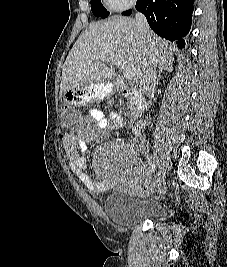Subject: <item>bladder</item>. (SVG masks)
I'll list each match as a JSON object with an SVG mask.
<instances>
[{"instance_id": "31cf9c89", "label": "bladder", "mask_w": 227, "mask_h": 267, "mask_svg": "<svg viewBox=\"0 0 227 267\" xmlns=\"http://www.w3.org/2000/svg\"><path fill=\"white\" fill-rule=\"evenodd\" d=\"M104 208L114 224L126 228L139 222L165 220L169 215L166 206L156 202L143 203L135 196L117 188L107 194Z\"/></svg>"}]
</instances>
